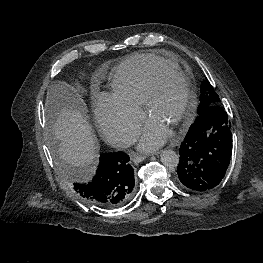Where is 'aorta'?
<instances>
[{"label": "aorta", "instance_id": "aorta-1", "mask_svg": "<svg viewBox=\"0 0 263 263\" xmlns=\"http://www.w3.org/2000/svg\"><path fill=\"white\" fill-rule=\"evenodd\" d=\"M160 160L165 167L175 168L179 164V155L172 150H164L161 152Z\"/></svg>", "mask_w": 263, "mask_h": 263}]
</instances>
